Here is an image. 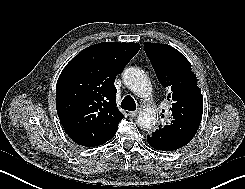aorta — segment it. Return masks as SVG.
Wrapping results in <instances>:
<instances>
[{"label":"aorta","instance_id":"obj_1","mask_svg":"<svg viewBox=\"0 0 245 189\" xmlns=\"http://www.w3.org/2000/svg\"><path fill=\"white\" fill-rule=\"evenodd\" d=\"M124 84L135 94L146 98L151 95L152 87L145 72L137 67H129L123 72ZM138 125L143 130H151L157 124L156 112L151 107L144 108L138 115Z\"/></svg>","mask_w":245,"mask_h":189}]
</instances>
